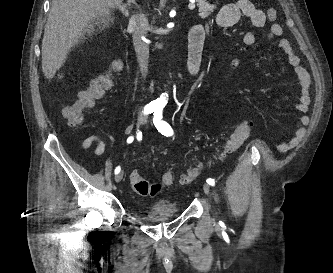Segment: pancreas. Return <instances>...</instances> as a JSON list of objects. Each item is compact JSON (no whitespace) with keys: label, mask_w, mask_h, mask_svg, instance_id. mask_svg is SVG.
<instances>
[{"label":"pancreas","mask_w":333,"mask_h":273,"mask_svg":"<svg viewBox=\"0 0 333 273\" xmlns=\"http://www.w3.org/2000/svg\"><path fill=\"white\" fill-rule=\"evenodd\" d=\"M197 6L201 18L208 17L215 8V5L209 4L206 0H197Z\"/></svg>","instance_id":"pancreas-1"}]
</instances>
